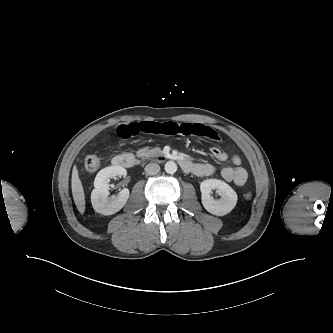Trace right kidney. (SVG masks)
I'll return each mask as SVG.
<instances>
[{
  "label": "right kidney",
  "instance_id": "ca27d5eb",
  "mask_svg": "<svg viewBox=\"0 0 333 333\" xmlns=\"http://www.w3.org/2000/svg\"><path fill=\"white\" fill-rule=\"evenodd\" d=\"M126 173L121 166H109L99 171L94 180L95 188L91 193V203L96 212L112 215L124 207L129 198V190L125 188L117 196L109 197L108 189L111 178L126 175Z\"/></svg>",
  "mask_w": 333,
  "mask_h": 333
}]
</instances>
